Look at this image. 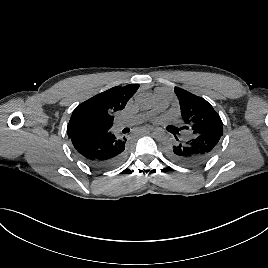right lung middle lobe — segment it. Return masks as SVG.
Returning <instances> with one entry per match:
<instances>
[{
	"label": "right lung middle lobe",
	"instance_id": "dd1d6c3e",
	"mask_svg": "<svg viewBox=\"0 0 268 268\" xmlns=\"http://www.w3.org/2000/svg\"><path fill=\"white\" fill-rule=\"evenodd\" d=\"M101 132V129L90 122H78L72 127L73 135L78 136H90Z\"/></svg>",
	"mask_w": 268,
	"mask_h": 268
}]
</instances>
